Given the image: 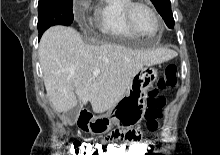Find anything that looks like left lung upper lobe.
I'll return each instance as SVG.
<instances>
[{
  "label": "left lung upper lobe",
  "instance_id": "left-lung-upper-lobe-1",
  "mask_svg": "<svg viewBox=\"0 0 220 155\" xmlns=\"http://www.w3.org/2000/svg\"><path fill=\"white\" fill-rule=\"evenodd\" d=\"M157 9L158 13L164 19L166 25L169 28L174 27V19L171 11V3L170 0H151Z\"/></svg>",
  "mask_w": 220,
  "mask_h": 155
}]
</instances>
